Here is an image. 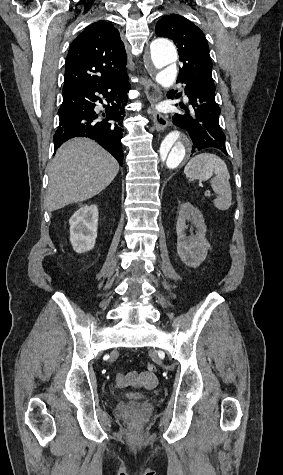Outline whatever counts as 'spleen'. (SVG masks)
Wrapping results in <instances>:
<instances>
[{"label": "spleen", "mask_w": 283, "mask_h": 475, "mask_svg": "<svg viewBox=\"0 0 283 475\" xmlns=\"http://www.w3.org/2000/svg\"><path fill=\"white\" fill-rule=\"evenodd\" d=\"M184 174L186 178L200 180V182L211 180L210 184L214 192L218 194V198L213 200L215 208L229 210L232 204V190L229 184L230 174L221 158H218L215 154H199V156L191 158L184 168Z\"/></svg>", "instance_id": "spleen-1"}]
</instances>
